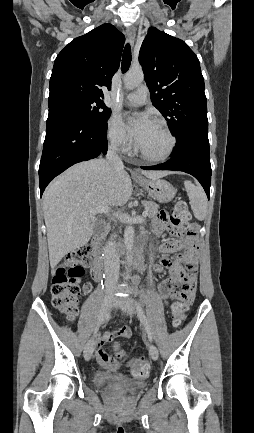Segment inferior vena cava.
<instances>
[{"label":"inferior vena cava","instance_id":"obj_1","mask_svg":"<svg viewBox=\"0 0 254 433\" xmlns=\"http://www.w3.org/2000/svg\"><path fill=\"white\" fill-rule=\"evenodd\" d=\"M118 143L116 139L111 140L106 159L114 168H123V162L117 154ZM104 265H105V285L107 288H113L118 284L119 279V256L115 249L113 240H109L104 247Z\"/></svg>","mask_w":254,"mask_h":433}]
</instances>
